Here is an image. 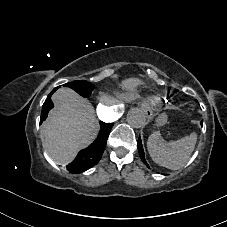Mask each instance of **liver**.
<instances>
[{
    "label": "liver",
    "mask_w": 227,
    "mask_h": 227,
    "mask_svg": "<svg viewBox=\"0 0 227 227\" xmlns=\"http://www.w3.org/2000/svg\"><path fill=\"white\" fill-rule=\"evenodd\" d=\"M142 82L137 78L122 81V87L133 89ZM56 108L41 126L44 146L57 164L71 162L80 149L89 145L99 130L94 107L70 88H60L52 95ZM102 100L110 105L107 97Z\"/></svg>",
    "instance_id": "1"
}]
</instances>
